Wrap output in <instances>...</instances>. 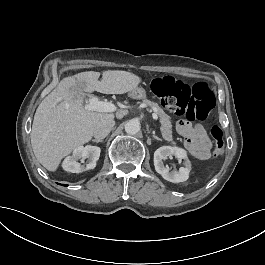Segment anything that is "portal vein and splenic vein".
Returning a JSON list of instances; mask_svg holds the SVG:
<instances>
[{
  "label": "portal vein and splenic vein",
  "instance_id": "portal-vein-and-splenic-vein-1",
  "mask_svg": "<svg viewBox=\"0 0 265 265\" xmlns=\"http://www.w3.org/2000/svg\"><path fill=\"white\" fill-rule=\"evenodd\" d=\"M84 100L86 102V111L112 112L115 108L112 103L100 101L97 96L86 97ZM140 108H143V106L140 105ZM153 119L158 120V116L156 114H153Z\"/></svg>",
  "mask_w": 265,
  "mask_h": 265
}]
</instances>
